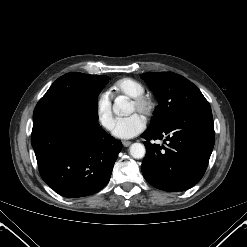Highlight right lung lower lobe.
Wrapping results in <instances>:
<instances>
[{"label":"right lung lower lobe","instance_id":"1","mask_svg":"<svg viewBox=\"0 0 247 247\" xmlns=\"http://www.w3.org/2000/svg\"><path fill=\"white\" fill-rule=\"evenodd\" d=\"M31 144L42 179L68 198L106 186L122 149L98 124V102L65 96L40 99L33 112Z\"/></svg>","mask_w":247,"mask_h":247}]
</instances>
